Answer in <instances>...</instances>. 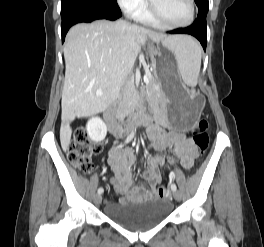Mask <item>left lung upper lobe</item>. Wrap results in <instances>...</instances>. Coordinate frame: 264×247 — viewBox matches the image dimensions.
Masks as SVG:
<instances>
[{"mask_svg":"<svg viewBox=\"0 0 264 247\" xmlns=\"http://www.w3.org/2000/svg\"><path fill=\"white\" fill-rule=\"evenodd\" d=\"M198 7V17H206L209 9L208 0H195Z\"/></svg>","mask_w":264,"mask_h":247,"instance_id":"obj_1","label":"left lung upper lobe"}]
</instances>
